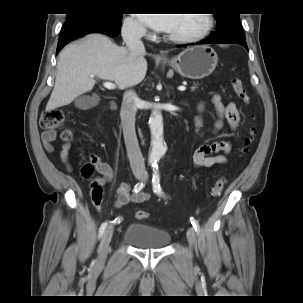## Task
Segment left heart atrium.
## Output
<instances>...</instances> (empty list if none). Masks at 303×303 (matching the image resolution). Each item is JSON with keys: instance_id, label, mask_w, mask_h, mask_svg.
I'll list each match as a JSON object with an SVG mask.
<instances>
[{"instance_id": "left-heart-atrium-1", "label": "left heart atrium", "mask_w": 303, "mask_h": 303, "mask_svg": "<svg viewBox=\"0 0 303 303\" xmlns=\"http://www.w3.org/2000/svg\"><path fill=\"white\" fill-rule=\"evenodd\" d=\"M176 14H139L141 20L156 31L169 32Z\"/></svg>"}]
</instances>
